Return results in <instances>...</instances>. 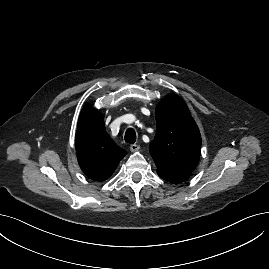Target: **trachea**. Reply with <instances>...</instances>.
I'll use <instances>...</instances> for the list:
<instances>
[{"mask_svg":"<svg viewBox=\"0 0 269 269\" xmlns=\"http://www.w3.org/2000/svg\"><path fill=\"white\" fill-rule=\"evenodd\" d=\"M125 141L127 143L133 144L136 141V133L133 130V128H128L127 131L125 132Z\"/></svg>","mask_w":269,"mask_h":269,"instance_id":"trachea-1","label":"trachea"}]
</instances>
